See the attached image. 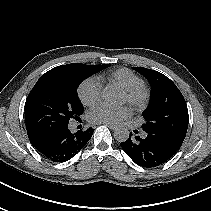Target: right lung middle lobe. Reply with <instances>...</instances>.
I'll use <instances>...</instances> for the list:
<instances>
[{
	"instance_id": "dd1d6c3e",
	"label": "right lung middle lobe",
	"mask_w": 211,
	"mask_h": 211,
	"mask_svg": "<svg viewBox=\"0 0 211 211\" xmlns=\"http://www.w3.org/2000/svg\"><path fill=\"white\" fill-rule=\"evenodd\" d=\"M109 67L103 65L80 66L68 77L37 81L25 103L27 132L43 131L67 125L71 119L83 114L77 88L87 77Z\"/></svg>"
}]
</instances>
